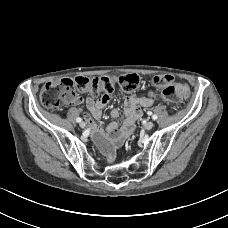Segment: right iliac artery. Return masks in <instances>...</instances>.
<instances>
[{"instance_id":"82829eb1","label":"right iliac artery","mask_w":228,"mask_h":228,"mask_svg":"<svg viewBox=\"0 0 228 228\" xmlns=\"http://www.w3.org/2000/svg\"><path fill=\"white\" fill-rule=\"evenodd\" d=\"M76 121L79 123V122L82 121V119H81L80 117H78V118L76 119Z\"/></svg>"}]
</instances>
